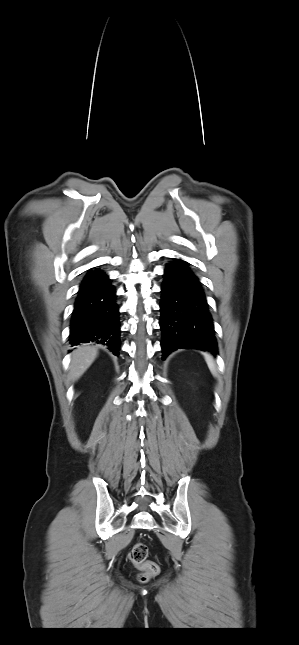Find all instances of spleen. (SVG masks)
<instances>
[{
	"instance_id": "1",
	"label": "spleen",
	"mask_w": 299,
	"mask_h": 645,
	"mask_svg": "<svg viewBox=\"0 0 299 645\" xmlns=\"http://www.w3.org/2000/svg\"><path fill=\"white\" fill-rule=\"evenodd\" d=\"M204 356L211 373L215 376L216 370H215V364L212 357L209 354H204Z\"/></svg>"
}]
</instances>
